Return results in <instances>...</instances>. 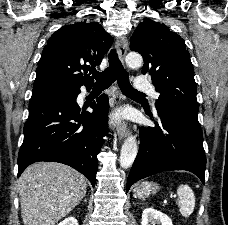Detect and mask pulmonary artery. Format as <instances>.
Returning a JSON list of instances; mask_svg holds the SVG:
<instances>
[{
    "label": "pulmonary artery",
    "instance_id": "e3ab8cb5",
    "mask_svg": "<svg viewBox=\"0 0 228 225\" xmlns=\"http://www.w3.org/2000/svg\"><path fill=\"white\" fill-rule=\"evenodd\" d=\"M138 80H145V75H138ZM135 90H146L152 97V105H155V101L158 99V93L152 88V85H148V81H136V85L134 86Z\"/></svg>",
    "mask_w": 228,
    "mask_h": 225
}]
</instances>
